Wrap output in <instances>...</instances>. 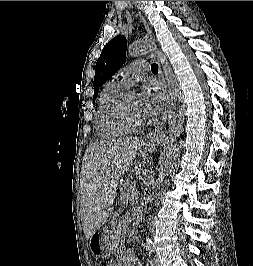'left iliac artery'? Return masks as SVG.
<instances>
[{"instance_id":"44dca946","label":"left iliac artery","mask_w":253,"mask_h":266,"mask_svg":"<svg viewBox=\"0 0 253 266\" xmlns=\"http://www.w3.org/2000/svg\"><path fill=\"white\" fill-rule=\"evenodd\" d=\"M149 252H150V254L154 252V249L152 246H149Z\"/></svg>"}]
</instances>
